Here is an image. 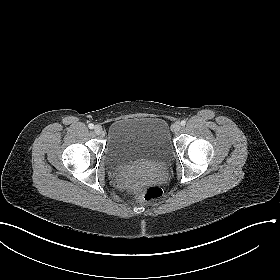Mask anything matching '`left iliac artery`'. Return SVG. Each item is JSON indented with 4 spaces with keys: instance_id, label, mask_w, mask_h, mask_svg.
I'll return each mask as SVG.
<instances>
[{
    "instance_id": "left-iliac-artery-1",
    "label": "left iliac artery",
    "mask_w": 280,
    "mask_h": 280,
    "mask_svg": "<svg viewBox=\"0 0 280 280\" xmlns=\"http://www.w3.org/2000/svg\"><path fill=\"white\" fill-rule=\"evenodd\" d=\"M181 125H182V126H185V125H186V121H185V120H182V121H181Z\"/></svg>"
}]
</instances>
